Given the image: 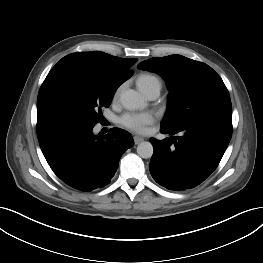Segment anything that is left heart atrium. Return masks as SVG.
<instances>
[{
	"label": "left heart atrium",
	"mask_w": 263,
	"mask_h": 263,
	"mask_svg": "<svg viewBox=\"0 0 263 263\" xmlns=\"http://www.w3.org/2000/svg\"><path fill=\"white\" fill-rule=\"evenodd\" d=\"M119 122L132 131L144 133L148 125L154 122V117L150 113H126L119 118Z\"/></svg>",
	"instance_id": "39dd6f15"
}]
</instances>
